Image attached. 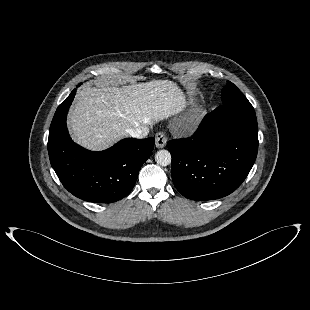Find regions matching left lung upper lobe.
Instances as JSON below:
<instances>
[{
  "mask_svg": "<svg viewBox=\"0 0 310 310\" xmlns=\"http://www.w3.org/2000/svg\"><path fill=\"white\" fill-rule=\"evenodd\" d=\"M221 99L223 103H238L247 100L242 92L230 81H227L226 86L223 88Z\"/></svg>",
  "mask_w": 310,
  "mask_h": 310,
  "instance_id": "5c2ea615",
  "label": "left lung upper lobe"
}]
</instances>
